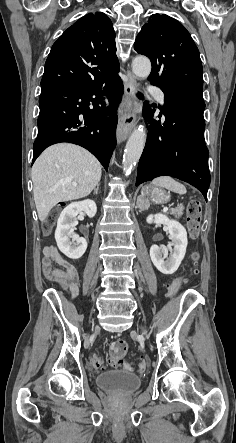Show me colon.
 <instances>
[{"instance_id":"1","label":"colon","mask_w":236,"mask_h":443,"mask_svg":"<svg viewBox=\"0 0 236 443\" xmlns=\"http://www.w3.org/2000/svg\"><path fill=\"white\" fill-rule=\"evenodd\" d=\"M202 206L197 200H192L187 206L186 223L189 231V235L192 239H197L200 233V221H201ZM55 215H52L50 219L44 225V231L49 233L54 223ZM200 260V255L197 251L191 253V261L196 265ZM180 285V280H176L170 286V293L174 294ZM128 351V343L123 339H117L113 341L109 346V365L113 368L131 369L132 362L125 360V356ZM91 364L95 369L101 370L105 368L103 358L99 354H93L91 357ZM147 369V365L144 361L139 364V371L144 372Z\"/></svg>"}]
</instances>
